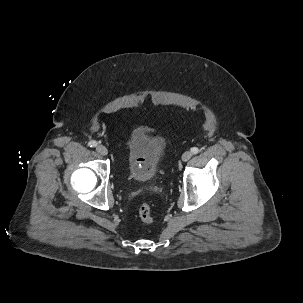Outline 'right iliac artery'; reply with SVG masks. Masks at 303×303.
Wrapping results in <instances>:
<instances>
[{
	"label": "right iliac artery",
	"instance_id": "obj_1",
	"mask_svg": "<svg viewBox=\"0 0 303 303\" xmlns=\"http://www.w3.org/2000/svg\"><path fill=\"white\" fill-rule=\"evenodd\" d=\"M88 145H89L90 147H96V146H97V142L94 141V140H92V141H90V142L88 143Z\"/></svg>",
	"mask_w": 303,
	"mask_h": 303
}]
</instances>
